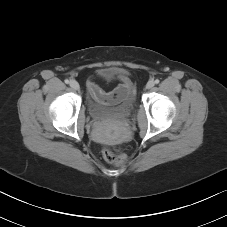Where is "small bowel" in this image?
<instances>
[{"label":"small bowel","instance_id":"small-bowel-1","mask_svg":"<svg viewBox=\"0 0 227 227\" xmlns=\"http://www.w3.org/2000/svg\"><path fill=\"white\" fill-rule=\"evenodd\" d=\"M105 77H112L115 74L113 69H107L102 73ZM120 80L119 85L111 92H105L95 82L88 81L87 87L90 96L99 102L114 103L123 98L131 88V82L128 76L122 72L117 73Z\"/></svg>","mask_w":227,"mask_h":227}]
</instances>
